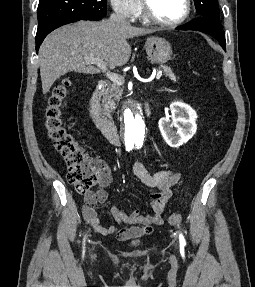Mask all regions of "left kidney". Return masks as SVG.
I'll list each match as a JSON object with an SVG mask.
<instances>
[{
    "mask_svg": "<svg viewBox=\"0 0 255 287\" xmlns=\"http://www.w3.org/2000/svg\"><path fill=\"white\" fill-rule=\"evenodd\" d=\"M170 110L171 120L161 118L159 120V130L170 147H179L196 134V118L198 116L191 106L183 104V102H172Z\"/></svg>",
    "mask_w": 255,
    "mask_h": 287,
    "instance_id": "1",
    "label": "left kidney"
}]
</instances>
